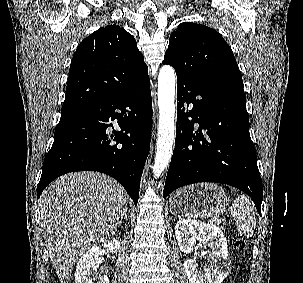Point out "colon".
Wrapping results in <instances>:
<instances>
[{"instance_id":"obj_1","label":"colon","mask_w":303,"mask_h":283,"mask_svg":"<svg viewBox=\"0 0 303 283\" xmlns=\"http://www.w3.org/2000/svg\"><path fill=\"white\" fill-rule=\"evenodd\" d=\"M235 247L238 250L243 251V249L245 247V242L241 238H237L235 241Z\"/></svg>"}]
</instances>
